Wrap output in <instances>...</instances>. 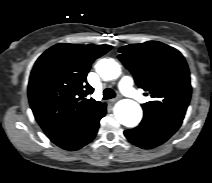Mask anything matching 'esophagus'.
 <instances>
[{
  "instance_id": "obj_1",
  "label": "esophagus",
  "mask_w": 212,
  "mask_h": 183,
  "mask_svg": "<svg viewBox=\"0 0 212 183\" xmlns=\"http://www.w3.org/2000/svg\"><path fill=\"white\" fill-rule=\"evenodd\" d=\"M120 98H121V97L113 98V99L110 100V102H111V103H114V102L118 101Z\"/></svg>"
}]
</instances>
